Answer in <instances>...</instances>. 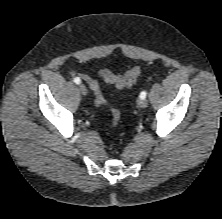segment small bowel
<instances>
[{"label": "small bowel", "instance_id": "1", "mask_svg": "<svg viewBox=\"0 0 222 219\" xmlns=\"http://www.w3.org/2000/svg\"><path fill=\"white\" fill-rule=\"evenodd\" d=\"M84 80L90 85L91 83H95L97 84L96 80H94L93 78H91L90 76L88 75H84L83 76Z\"/></svg>", "mask_w": 222, "mask_h": 219}]
</instances>
